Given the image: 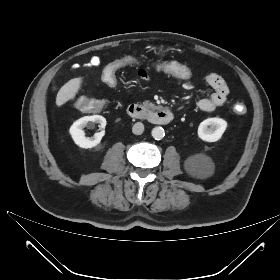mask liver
<instances>
[{"mask_svg":"<svg viewBox=\"0 0 280 280\" xmlns=\"http://www.w3.org/2000/svg\"><path fill=\"white\" fill-rule=\"evenodd\" d=\"M81 84V77L73 78L69 80L66 84H64L57 94L56 105L62 106L63 104L74 98L81 89Z\"/></svg>","mask_w":280,"mask_h":280,"instance_id":"obj_1","label":"liver"}]
</instances>
